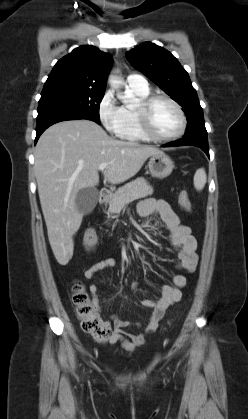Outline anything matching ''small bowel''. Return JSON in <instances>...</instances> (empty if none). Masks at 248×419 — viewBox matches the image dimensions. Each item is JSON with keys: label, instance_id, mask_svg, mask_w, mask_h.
Segmentation results:
<instances>
[{"label": "small bowel", "instance_id": "small-bowel-1", "mask_svg": "<svg viewBox=\"0 0 248 419\" xmlns=\"http://www.w3.org/2000/svg\"><path fill=\"white\" fill-rule=\"evenodd\" d=\"M137 211L142 217L153 213L161 217L168 229L173 246L178 250L179 262L176 268L179 273L173 275L171 285L163 286L159 299L155 301L143 299L140 301L141 306L151 309V314L143 326L142 333L126 334L124 329L129 325V322L116 316L112 317L114 331L108 339V343L110 345L120 344L127 352H133L136 348L143 345L146 337L158 327L167 308L181 300L182 289L186 285L184 273L194 272L198 263L196 254L197 241L192 235L190 227L181 223L178 215L166 201L155 198L144 199L139 203ZM115 263L113 258H105L93 263L86 270L84 274L85 279L87 281L91 280L101 270L113 267ZM136 287L137 282L134 281L132 288L136 289ZM85 288H88L94 295V300L98 302L99 299L96 296L97 286L90 284L88 287L85 286Z\"/></svg>", "mask_w": 248, "mask_h": 419}]
</instances>
